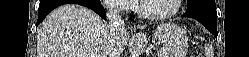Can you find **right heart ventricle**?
<instances>
[{"label":"right heart ventricle","instance_id":"obj_1","mask_svg":"<svg viewBox=\"0 0 249 57\" xmlns=\"http://www.w3.org/2000/svg\"><path fill=\"white\" fill-rule=\"evenodd\" d=\"M131 4H132V8L137 10V7H136L135 3L131 2Z\"/></svg>","mask_w":249,"mask_h":57}]
</instances>
